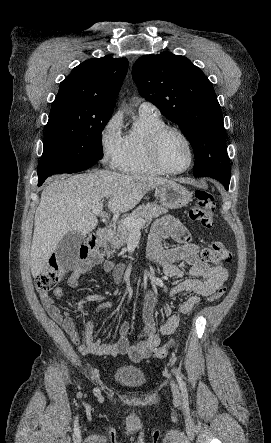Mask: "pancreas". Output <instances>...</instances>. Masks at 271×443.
Listing matches in <instances>:
<instances>
[{
	"instance_id": "1",
	"label": "pancreas",
	"mask_w": 271,
	"mask_h": 443,
	"mask_svg": "<svg viewBox=\"0 0 271 443\" xmlns=\"http://www.w3.org/2000/svg\"><path fill=\"white\" fill-rule=\"evenodd\" d=\"M168 210L166 208H161V206H157V204H146V206H139L137 210H134L132 214H129L128 218H136V220H145V222H150L153 218H158L161 214H167ZM140 227H126V225H122L120 223L115 235H109L107 237L108 241H110L112 247H121L124 243H128L130 233L134 231V229H141Z\"/></svg>"
}]
</instances>
